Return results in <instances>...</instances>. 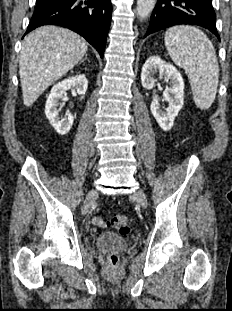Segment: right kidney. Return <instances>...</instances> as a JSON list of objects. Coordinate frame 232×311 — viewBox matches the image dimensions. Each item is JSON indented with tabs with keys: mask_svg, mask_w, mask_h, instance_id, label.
I'll return each instance as SVG.
<instances>
[{
	"mask_svg": "<svg viewBox=\"0 0 232 311\" xmlns=\"http://www.w3.org/2000/svg\"><path fill=\"white\" fill-rule=\"evenodd\" d=\"M87 87L88 81L85 75H77L57 83L51 89L45 105V115L59 135L67 134L74 121V117L69 111L66 113L65 118L60 119L57 111L59 100L69 89L76 90L79 95H84L87 91Z\"/></svg>",
	"mask_w": 232,
	"mask_h": 311,
	"instance_id": "obj_1",
	"label": "right kidney"
}]
</instances>
